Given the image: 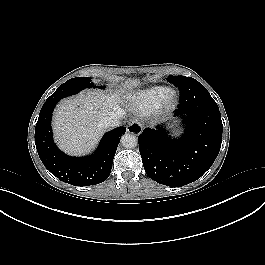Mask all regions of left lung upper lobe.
<instances>
[{
	"mask_svg": "<svg viewBox=\"0 0 265 265\" xmlns=\"http://www.w3.org/2000/svg\"><path fill=\"white\" fill-rule=\"evenodd\" d=\"M168 81L172 84H175L176 86H179V84H181V83H187L190 81H197V80H195L191 77H185V76H169ZM205 90H206V88H205ZM205 101L209 102V103L215 102L207 90H206Z\"/></svg>",
	"mask_w": 265,
	"mask_h": 265,
	"instance_id": "1",
	"label": "left lung upper lobe"
}]
</instances>
